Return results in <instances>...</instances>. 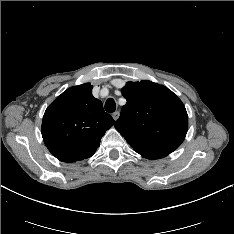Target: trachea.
<instances>
[{
	"label": "trachea",
	"instance_id": "3493384b",
	"mask_svg": "<svg viewBox=\"0 0 234 234\" xmlns=\"http://www.w3.org/2000/svg\"><path fill=\"white\" fill-rule=\"evenodd\" d=\"M105 110L108 113H113L116 110V103L113 98H108L106 103H105Z\"/></svg>",
	"mask_w": 234,
	"mask_h": 234
}]
</instances>
